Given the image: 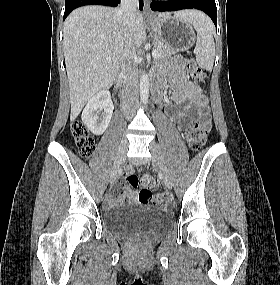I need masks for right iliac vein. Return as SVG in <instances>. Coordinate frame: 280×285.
I'll list each match as a JSON object with an SVG mask.
<instances>
[{"label":"right iliac vein","mask_w":280,"mask_h":285,"mask_svg":"<svg viewBox=\"0 0 280 285\" xmlns=\"http://www.w3.org/2000/svg\"><path fill=\"white\" fill-rule=\"evenodd\" d=\"M128 149V142L126 139H122L119 145L118 153L113 165V170L111 173V183H114L117 179V175L124 163L126 152Z\"/></svg>","instance_id":"63e3f726"}]
</instances>
